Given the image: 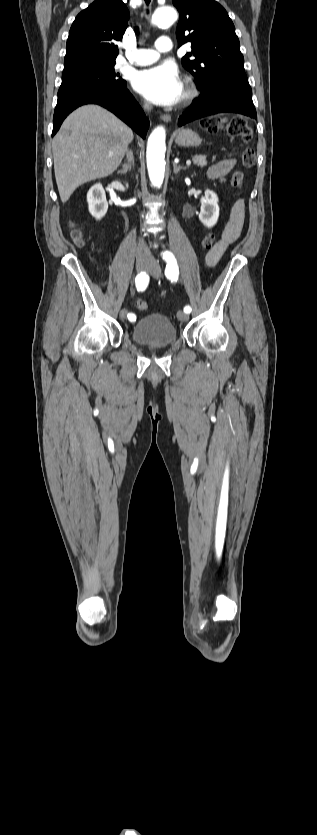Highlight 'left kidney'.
Listing matches in <instances>:
<instances>
[{"label": "left kidney", "instance_id": "5707ae66", "mask_svg": "<svg viewBox=\"0 0 317 835\" xmlns=\"http://www.w3.org/2000/svg\"><path fill=\"white\" fill-rule=\"evenodd\" d=\"M219 218V206L217 195L207 189L205 197L201 201L199 220L208 228L213 227Z\"/></svg>", "mask_w": 317, "mask_h": 835}]
</instances>
